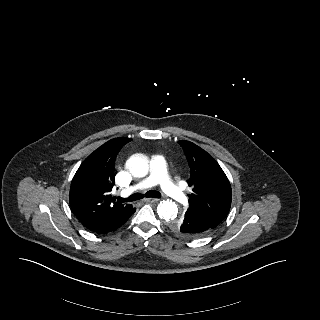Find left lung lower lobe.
<instances>
[{
  "label": "left lung lower lobe",
  "mask_w": 320,
  "mask_h": 320,
  "mask_svg": "<svg viewBox=\"0 0 320 320\" xmlns=\"http://www.w3.org/2000/svg\"><path fill=\"white\" fill-rule=\"evenodd\" d=\"M170 228L174 232L188 238H198L214 229L213 226L203 220L200 216L191 212H186L180 219V226L177 231L173 229L172 222L170 223Z\"/></svg>",
  "instance_id": "1"
}]
</instances>
